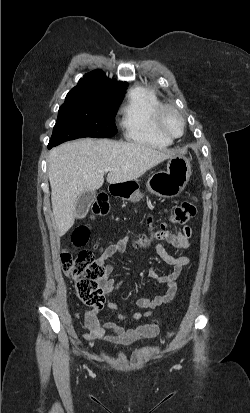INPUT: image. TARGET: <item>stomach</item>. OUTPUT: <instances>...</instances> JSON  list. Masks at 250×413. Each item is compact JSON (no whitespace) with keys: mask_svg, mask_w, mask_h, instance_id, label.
<instances>
[{"mask_svg":"<svg viewBox=\"0 0 250 413\" xmlns=\"http://www.w3.org/2000/svg\"><path fill=\"white\" fill-rule=\"evenodd\" d=\"M190 176V161L185 156L176 154L169 158L166 172H159L149 178L147 188L149 192L161 198H173L183 192ZM118 195L133 203L140 202L143 198L135 180L123 182V187Z\"/></svg>","mask_w":250,"mask_h":413,"instance_id":"stomach-1","label":"stomach"}]
</instances>
